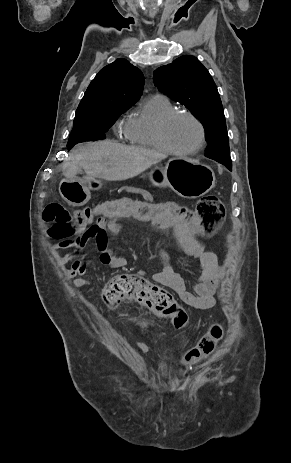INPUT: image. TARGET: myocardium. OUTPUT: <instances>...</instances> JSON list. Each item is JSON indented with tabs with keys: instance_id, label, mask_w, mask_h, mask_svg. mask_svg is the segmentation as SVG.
<instances>
[{
	"instance_id": "myocardium-1",
	"label": "myocardium",
	"mask_w": 291,
	"mask_h": 463,
	"mask_svg": "<svg viewBox=\"0 0 291 463\" xmlns=\"http://www.w3.org/2000/svg\"><path fill=\"white\" fill-rule=\"evenodd\" d=\"M179 116H185L190 118L192 121L196 123V125L199 128L200 131V137L198 143L189 149L181 150L175 148L168 140L167 138V128L170 124V122L179 117ZM156 136L157 140L163 149V151L172 154V155H177V156H188L195 154L199 152L205 145L206 142V129L202 121L195 116L193 113L185 110H173L166 114L164 117L161 118V120L158 122L157 127H156Z\"/></svg>"
}]
</instances>
